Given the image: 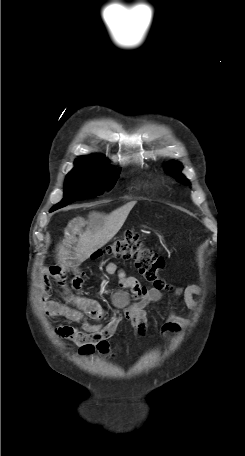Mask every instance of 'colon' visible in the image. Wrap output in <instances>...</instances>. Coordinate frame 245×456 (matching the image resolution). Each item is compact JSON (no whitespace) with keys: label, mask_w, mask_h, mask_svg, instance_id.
<instances>
[{"label":"colon","mask_w":245,"mask_h":456,"mask_svg":"<svg viewBox=\"0 0 245 456\" xmlns=\"http://www.w3.org/2000/svg\"><path fill=\"white\" fill-rule=\"evenodd\" d=\"M106 252L120 259H133L141 276L151 283L154 289L169 290L170 286L160 276L163 260L151 247L147 246L141 236L135 232H126L106 248ZM101 252L95 254L99 256Z\"/></svg>","instance_id":"1"}]
</instances>
